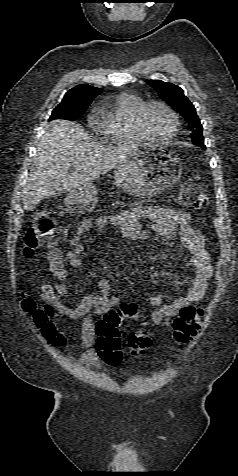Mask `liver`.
I'll return each instance as SVG.
<instances>
[{
    "label": "liver",
    "instance_id": "1",
    "mask_svg": "<svg viewBox=\"0 0 238 476\" xmlns=\"http://www.w3.org/2000/svg\"><path fill=\"white\" fill-rule=\"evenodd\" d=\"M138 152L136 146L98 145L80 125L51 121L44 129L24 187V210L31 211L47 197L90 183ZM69 168L73 169L70 175Z\"/></svg>",
    "mask_w": 238,
    "mask_h": 476
}]
</instances>
